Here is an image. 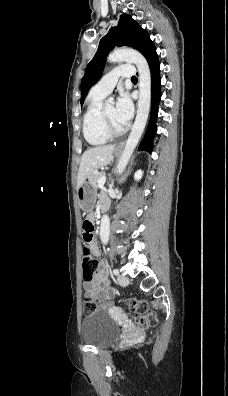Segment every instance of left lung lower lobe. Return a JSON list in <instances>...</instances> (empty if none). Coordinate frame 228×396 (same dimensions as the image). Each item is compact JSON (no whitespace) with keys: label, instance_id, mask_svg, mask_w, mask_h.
<instances>
[{"label":"left lung lower lobe","instance_id":"1","mask_svg":"<svg viewBox=\"0 0 228 396\" xmlns=\"http://www.w3.org/2000/svg\"><path fill=\"white\" fill-rule=\"evenodd\" d=\"M145 58L148 61L150 72H151V118L148 124L147 131L140 143V150H152L153 137L157 131L155 125L157 114H158V104L161 99V78L159 70L158 55L156 53V47L152 42L145 53Z\"/></svg>","mask_w":228,"mask_h":396}]
</instances>
